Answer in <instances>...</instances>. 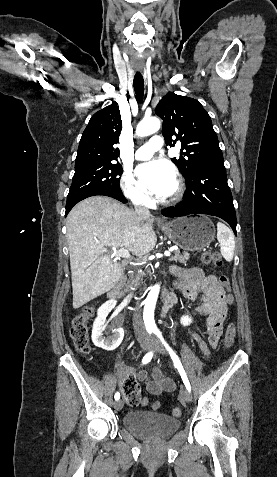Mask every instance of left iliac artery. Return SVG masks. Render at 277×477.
Segmentation results:
<instances>
[{
    "instance_id": "left-iliac-artery-1",
    "label": "left iliac artery",
    "mask_w": 277,
    "mask_h": 477,
    "mask_svg": "<svg viewBox=\"0 0 277 477\" xmlns=\"http://www.w3.org/2000/svg\"><path fill=\"white\" fill-rule=\"evenodd\" d=\"M153 332L158 336V338L161 340V342L164 344V346L166 347V349L168 350L172 360H173V363H174V366L178 369L180 375H181V378L186 386V388L190 391L191 390V386H190V383H189V380L186 376V373L183 369V366L178 358V356L174 353V351L170 348V346L166 343V341L164 340V338L162 337V334L161 332L158 330V329H154Z\"/></svg>"
}]
</instances>
